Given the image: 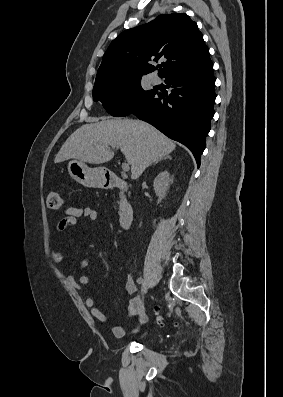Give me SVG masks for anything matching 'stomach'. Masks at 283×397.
<instances>
[{
  "instance_id": "stomach-1",
  "label": "stomach",
  "mask_w": 283,
  "mask_h": 397,
  "mask_svg": "<svg viewBox=\"0 0 283 397\" xmlns=\"http://www.w3.org/2000/svg\"><path fill=\"white\" fill-rule=\"evenodd\" d=\"M67 168L70 176L86 187L102 188L105 185V171L102 167L90 168L85 162L73 159Z\"/></svg>"
}]
</instances>
